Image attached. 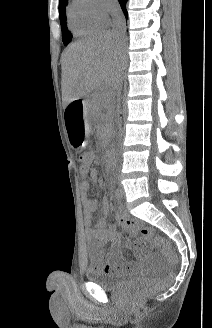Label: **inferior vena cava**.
I'll use <instances>...</instances> for the list:
<instances>
[{
    "label": "inferior vena cava",
    "mask_w": 212,
    "mask_h": 328,
    "mask_svg": "<svg viewBox=\"0 0 212 328\" xmlns=\"http://www.w3.org/2000/svg\"><path fill=\"white\" fill-rule=\"evenodd\" d=\"M110 14L113 19L112 33L122 40V38L125 35V18H124V15L122 13L120 6L117 3H113L110 6ZM115 90H116L115 94L119 100V97H120L121 91H122L121 79L118 80ZM117 123L119 124V126H121V122L119 121V119H118Z\"/></svg>",
    "instance_id": "1"
}]
</instances>
